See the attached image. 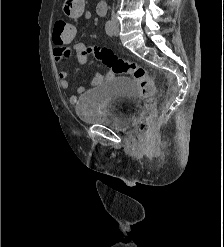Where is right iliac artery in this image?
Listing matches in <instances>:
<instances>
[{
	"label": "right iliac artery",
	"instance_id": "obj_1",
	"mask_svg": "<svg viewBox=\"0 0 224 247\" xmlns=\"http://www.w3.org/2000/svg\"><path fill=\"white\" fill-rule=\"evenodd\" d=\"M105 31L110 37L113 36V34H114V25H113L112 21L109 20V21L106 22Z\"/></svg>",
	"mask_w": 224,
	"mask_h": 247
}]
</instances>
